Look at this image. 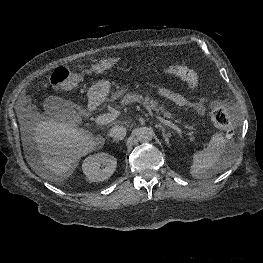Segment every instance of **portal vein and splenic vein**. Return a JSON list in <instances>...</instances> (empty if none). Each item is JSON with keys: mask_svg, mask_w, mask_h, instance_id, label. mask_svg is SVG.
Here are the masks:
<instances>
[{"mask_svg": "<svg viewBox=\"0 0 263 263\" xmlns=\"http://www.w3.org/2000/svg\"><path fill=\"white\" fill-rule=\"evenodd\" d=\"M117 116H118V114H116V113H107V114H103V115L96 117L94 121L97 125H105V124H108V123L112 122L113 120H115L117 118ZM155 117L161 123H163V124L169 126L170 128L176 130L178 133H182V130L177 125L172 123L171 121L166 120L161 116H155Z\"/></svg>", "mask_w": 263, "mask_h": 263, "instance_id": "obj_1", "label": "portal vein and splenic vein"}]
</instances>
